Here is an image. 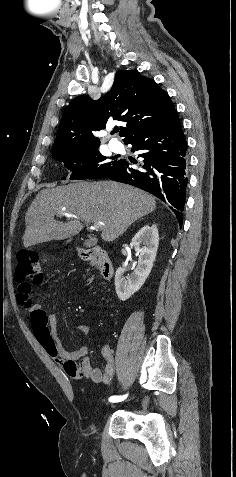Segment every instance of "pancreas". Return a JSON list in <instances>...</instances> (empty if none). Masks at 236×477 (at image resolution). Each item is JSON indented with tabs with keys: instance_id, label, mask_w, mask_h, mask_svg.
I'll list each match as a JSON object with an SVG mask.
<instances>
[{
	"instance_id": "1",
	"label": "pancreas",
	"mask_w": 236,
	"mask_h": 477,
	"mask_svg": "<svg viewBox=\"0 0 236 477\" xmlns=\"http://www.w3.org/2000/svg\"><path fill=\"white\" fill-rule=\"evenodd\" d=\"M92 264H93V265H95L96 263H95V262H93Z\"/></svg>"
}]
</instances>
